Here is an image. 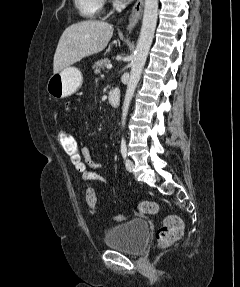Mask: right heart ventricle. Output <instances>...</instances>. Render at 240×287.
<instances>
[{
    "instance_id": "obj_1",
    "label": "right heart ventricle",
    "mask_w": 240,
    "mask_h": 287,
    "mask_svg": "<svg viewBox=\"0 0 240 287\" xmlns=\"http://www.w3.org/2000/svg\"><path fill=\"white\" fill-rule=\"evenodd\" d=\"M80 15L84 18H96L103 10L104 0H74Z\"/></svg>"
}]
</instances>
